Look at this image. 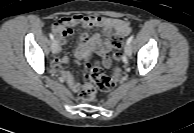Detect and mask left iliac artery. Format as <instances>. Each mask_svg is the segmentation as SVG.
Listing matches in <instances>:
<instances>
[{
    "label": "left iliac artery",
    "mask_w": 194,
    "mask_h": 133,
    "mask_svg": "<svg viewBox=\"0 0 194 133\" xmlns=\"http://www.w3.org/2000/svg\"><path fill=\"white\" fill-rule=\"evenodd\" d=\"M133 38H134V35H131L128 39H127V44H130L131 42H132V40H133Z\"/></svg>",
    "instance_id": "44dca946"
}]
</instances>
